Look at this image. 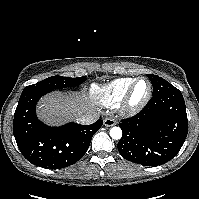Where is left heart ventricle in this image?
Wrapping results in <instances>:
<instances>
[{
  "label": "left heart ventricle",
  "instance_id": "obj_1",
  "mask_svg": "<svg viewBox=\"0 0 199 199\" xmlns=\"http://www.w3.org/2000/svg\"><path fill=\"white\" fill-rule=\"evenodd\" d=\"M148 92V83L146 81L140 80L133 92L132 95V102L136 103L141 101L147 94Z\"/></svg>",
  "mask_w": 199,
  "mask_h": 199
}]
</instances>
